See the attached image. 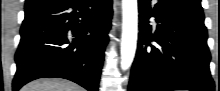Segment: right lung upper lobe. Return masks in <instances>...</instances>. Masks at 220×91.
<instances>
[{"label": "right lung upper lobe", "mask_w": 220, "mask_h": 91, "mask_svg": "<svg viewBox=\"0 0 220 91\" xmlns=\"http://www.w3.org/2000/svg\"><path fill=\"white\" fill-rule=\"evenodd\" d=\"M36 3H45V2H49V1H52V0H35ZM25 8H28V7H25Z\"/></svg>", "instance_id": "obj_1"}]
</instances>
